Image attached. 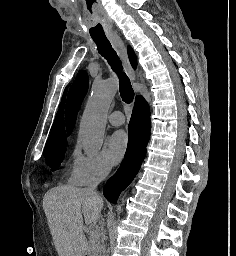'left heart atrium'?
Returning <instances> with one entry per match:
<instances>
[{"label":"left heart atrium","instance_id":"left-heart-atrium-1","mask_svg":"<svg viewBox=\"0 0 236 256\" xmlns=\"http://www.w3.org/2000/svg\"><path fill=\"white\" fill-rule=\"evenodd\" d=\"M129 138L126 132L117 131L109 139L108 156L113 164L119 163L127 149Z\"/></svg>","mask_w":236,"mask_h":256}]
</instances>
